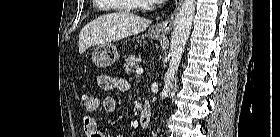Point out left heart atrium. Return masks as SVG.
I'll return each mask as SVG.
<instances>
[{
	"label": "left heart atrium",
	"instance_id": "obj_1",
	"mask_svg": "<svg viewBox=\"0 0 280 137\" xmlns=\"http://www.w3.org/2000/svg\"><path fill=\"white\" fill-rule=\"evenodd\" d=\"M154 1L159 3V2H161L162 0H154Z\"/></svg>",
	"mask_w": 280,
	"mask_h": 137
}]
</instances>
